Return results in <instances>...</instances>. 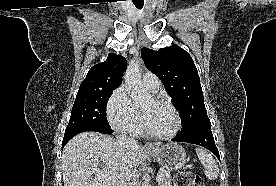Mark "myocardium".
Segmentation results:
<instances>
[{
	"label": "myocardium",
	"mask_w": 276,
	"mask_h": 186,
	"mask_svg": "<svg viewBox=\"0 0 276 186\" xmlns=\"http://www.w3.org/2000/svg\"><path fill=\"white\" fill-rule=\"evenodd\" d=\"M153 101L157 104H163V105L168 106L174 112V114L176 116V126L171 132L166 133V134L154 133L148 129L143 116H141V124H142L143 132L147 136L154 138V139L166 140V139H171V138L175 137L178 134V132L181 130V127H182V118H181V114H180L179 110L174 106V104L171 101H169L166 98L158 97V98H154Z\"/></svg>",
	"instance_id": "obj_1"
}]
</instances>
